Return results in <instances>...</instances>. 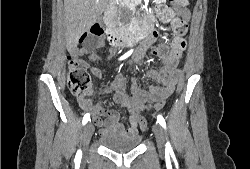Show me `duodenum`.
<instances>
[{
	"label": "duodenum",
	"instance_id": "410a0bca",
	"mask_svg": "<svg viewBox=\"0 0 250 169\" xmlns=\"http://www.w3.org/2000/svg\"><path fill=\"white\" fill-rule=\"evenodd\" d=\"M105 23L108 28L107 39L110 44L119 47L125 44L143 41L147 43L150 39L149 30L136 20L129 31H121L113 25V18L110 13L105 14Z\"/></svg>",
	"mask_w": 250,
	"mask_h": 169
}]
</instances>
